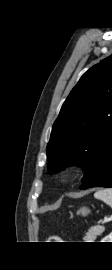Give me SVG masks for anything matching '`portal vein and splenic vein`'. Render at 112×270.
<instances>
[{
	"label": "portal vein and splenic vein",
	"mask_w": 112,
	"mask_h": 270,
	"mask_svg": "<svg viewBox=\"0 0 112 270\" xmlns=\"http://www.w3.org/2000/svg\"><path fill=\"white\" fill-rule=\"evenodd\" d=\"M112 220V216L111 217H104V220H103V224L104 223H107V222H109V221H111Z\"/></svg>",
	"instance_id": "portal-vein-and-splenic-vein-1"
}]
</instances>
